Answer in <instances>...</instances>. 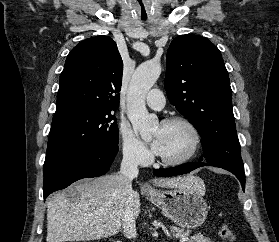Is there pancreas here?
I'll return each instance as SVG.
<instances>
[{"instance_id":"cf45deb5","label":"pancreas","mask_w":279,"mask_h":242,"mask_svg":"<svg viewBox=\"0 0 279 242\" xmlns=\"http://www.w3.org/2000/svg\"><path fill=\"white\" fill-rule=\"evenodd\" d=\"M171 232L174 234V236L179 237V238H183V237H187L190 234V231H185L184 229H181L179 227L176 226H170ZM189 242H212L211 239L209 237H205L201 234H195L194 236L191 237V239L189 240Z\"/></svg>"}]
</instances>
